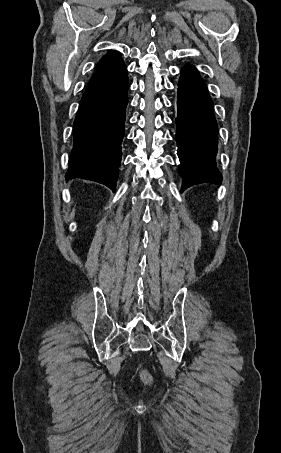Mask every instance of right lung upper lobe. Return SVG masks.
<instances>
[{
  "mask_svg": "<svg viewBox=\"0 0 281 453\" xmlns=\"http://www.w3.org/2000/svg\"><path fill=\"white\" fill-rule=\"evenodd\" d=\"M115 53H117V52H116V51H110L108 54H106L105 56H103L101 60H104V59H106V58L112 56V55L115 54ZM101 60H100V61H101Z\"/></svg>",
  "mask_w": 281,
  "mask_h": 453,
  "instance_id": "right-lung-upper-lobe-1",
  "label": "right lung upper lobe"
}]
</instances>
